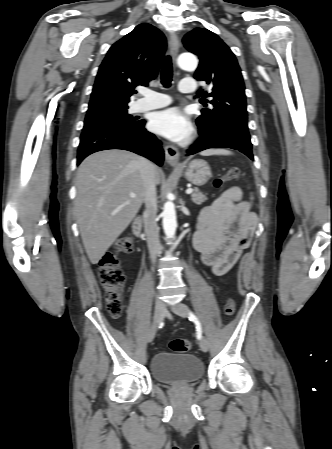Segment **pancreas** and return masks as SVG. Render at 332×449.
Masks as SVG:
<instances>
[{"mask_svg":"<svg viewBox=\"0 0 332 449\" xmlns=\"http://www.w3.org/2000/svg\"><path fill=\"white\" fill-rule=\"evenodd\" d=\"M191 198L192 201L197 205H201L203 202L207 200L206 196L199 190H195V192L192 193Z\"/></svg>","mask_w":332,"mask_h":449,"instance_id":"obj_1","label":"pancreas"}]
</instances>
